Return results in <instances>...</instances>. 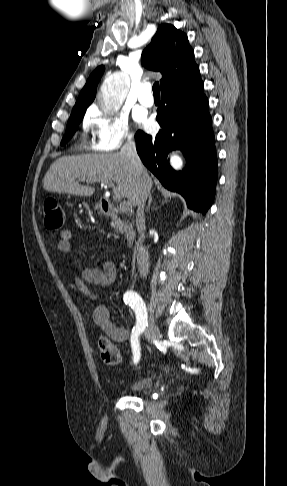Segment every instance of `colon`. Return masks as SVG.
Instances as JSON below:
<instances>
[{"instance_id": "1", "label": "colon", "mask_w": 287, "mask_h": 486, "mask_svg": "<svg viewBox=\"0 0 287 486\" xmlns=\"http://www.w3.org/2000/svg\"><path fill=\"white\" fill-rule=\"evenodd\" d=\"M44 224L50 230H58L64 223V212L55 198H47L43 203ZM100 355L105 364L116 366L121 361L118 348L108 337H101L98 341Z\"/></svg>"}]
</instances>
